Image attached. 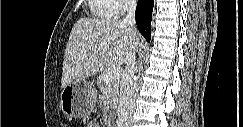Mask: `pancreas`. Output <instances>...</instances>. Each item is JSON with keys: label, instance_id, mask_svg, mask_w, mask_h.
<instances>
[{"label": "pancreas", "instance_id": "pancreas-1", "mask_svg": "<svg viewBox=\"0 0 243 127\" xmlns=\"http://www.w3.org/2000/svg\"><path fill=\"white\" fill-rule=\"evenodd\" d=\"M106 72L101 74L98 78L97 85L102 93L103 103L106 106V110L112 109L118 102V88L119 80H113L106 82Z\"/></svg>", "mask_w": 243, "mask_h": 127}]
</instances>
